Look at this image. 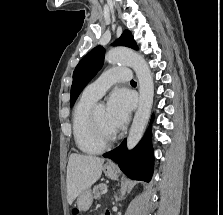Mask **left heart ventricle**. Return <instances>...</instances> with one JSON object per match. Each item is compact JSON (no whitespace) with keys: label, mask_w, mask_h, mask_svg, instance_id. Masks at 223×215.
Listing matches in <instances>:
<instances>
[{"label":"left heart ventricle","mask_w":223,"mask_h":215,"mask_svg":"<svg viewBox=\"0 0 223 215\" xmlns=\"http://www.w3.org/2000/svg\"><path fill=\"white\" fill-rule=\"evenodd\" d=\"M96 116L100 128L102 130L104 139L106 141H110L116 134L117 130L112 127V125L108 122L106 116V109L104 107L96 109Z\"/></svg>","instance_id":"obj_1"}]
</instances>
